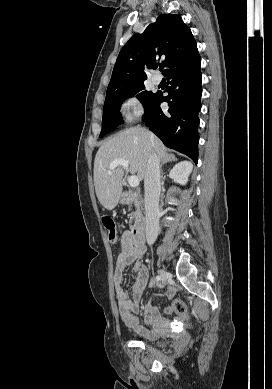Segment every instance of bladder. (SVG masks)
<instances>
[{"mask_svg": "<svg viewBox=\"0 0 272 389\" xmlns=\"http://www.w3.org/2000/svg\"><path fill=\"white\" fill-rule=\"evenodd\" d=\"M164 336V334H158V336L154 339H149V343L151 344H155V345H163L165 343V340L162 339V337Z\"/></svg>", "mask_w": 272, "mask_h": 389, "instance_id": "31cf9c89", "label": "bladder"}]
</instances>
